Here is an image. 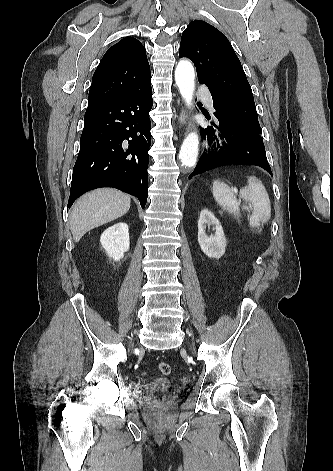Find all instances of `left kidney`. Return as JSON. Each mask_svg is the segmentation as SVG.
Returning a JSON list of instances; mask_svg holds the SVG:
<instances>
[{
	"mask_svg": "<svg viewBox=\"0 0 333 471\" xmlns=\"http://www.w3.org/2000/svg\"><path fill=\"white\" fill-rule=\"evenodd\" d=\"M213 225L215 234L208 236L205 226ZM198 242L201 250L210 258L219 259L225 253L226 238L219 220L208 209H203L198 220Z\"/></svg>",
	"mask_w": 333,
	"mask_h": 471,
	"instance_id": "obj_1",
	"label": "left kidney"
}]
</instances>
